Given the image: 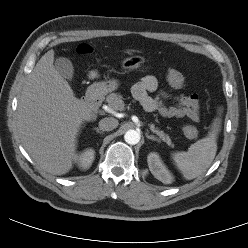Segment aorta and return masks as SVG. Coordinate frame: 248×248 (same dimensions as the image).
I'll list each match as a JSON object with an SVG mask.
<instances>
[{"instance_id": "obj_1", "label": "aorta", "mask_w": 248, "mask_h": 248, "mask_svg": "<svg viewBox=\"0 0 248 248\" xmlns=\"http://www.w3.org/2000/svg\"><path fill=\"white\" fill-rule=\"evenodd\" d=\"M124 139L126 143L130 145H135L139 143L141 136L140 133L136 130H128L124 135Z\"/></svg>"}]
</instances>
